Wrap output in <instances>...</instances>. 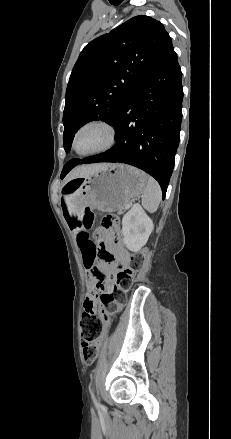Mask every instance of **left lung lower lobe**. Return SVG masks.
Instances as JSON below:
<instances>
[{
  "mask_svg": "<svg viewBox=\"0 0 231 439\" xmlns=\"http://www.w3.org/2000/svg\"><path fill=\"white\" fill-rule=\"evenodd\" d=\"M182 73L172 47L165 57L132 89L113 125L117 143L105 153L70 160L78 164L120 162L154 177L165 197L174 168L182 121Z\"/></svg>",
  "mask_w": 231,
  "mask_h": 439,
  "instance_id": "1",
  "label": "left lung lower lobe"
}]
</instances>
